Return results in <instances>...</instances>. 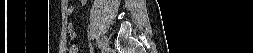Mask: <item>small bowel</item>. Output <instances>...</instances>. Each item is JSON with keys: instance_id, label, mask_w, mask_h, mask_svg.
Wrapping results in <instances>:
<instances>
[{"instance_id": "1", "label": "small bowel", "mask_w": 253, "mask_h": 53, "mask_svg": "<svg viewBox=\"0 0 253 53\" xmlns=\"http://www.w3.org/2000/svg\"><path fill=\"white\" fill-rule=\"evenodd\" d=\"M67 30H68V34L71 38H76L77 36V33L73 27V25L69 24L68 27H67Z\"/></svg>"}]
</instances>
